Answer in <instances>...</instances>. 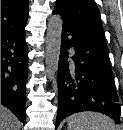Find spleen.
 I'll list each match as a JSON object with an SVG mask.
<instances>
[{
  "label": "spleen",
  "mask_w": 123,
  "mask_h": 130,
  "mask_svg": "<svg viewBox=\"0 0 123 130\" xmlns=\"http://www.w3.org/2000/svg\"><path fill=\"white\" fill-rule=\"evenodd\" d=\"M67 130H116L114 121L96 112H81L67 119Z\"/></svg>",
  "instance_id": "obj_1"
}]
</instances>
